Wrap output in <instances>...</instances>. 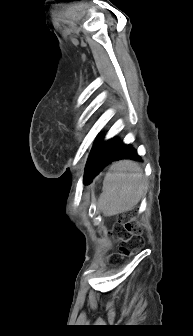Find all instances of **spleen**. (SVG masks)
<instances>
[{"instance_id": "spleen-1", "label": "spleen", "mask_w": 193, "mask_h": 336, "mask_svg": "<svg viewBox=\"0 0 193 336\" xmlns=\"http://www.w3.org/2000/svg\"><path fill=\"white\" fill-rule=\"evenodd\" d=\"M146 189L138 164L130 161L115 163L103 181L98 208L105 216H113L133 209Z\"/></svg>"}]
</instances>
